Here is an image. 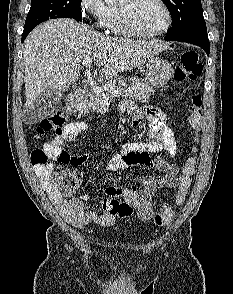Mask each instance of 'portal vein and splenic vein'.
I'll return each instance as SVG.
<instances>
[{
	"label": "portal vein and splenic vein",
	"instance_id": "obj_1",
	"mask_svg": "<svg viewBox=\"0 0 233 294\" xmlns=\"http://www.w3.org/2000/svg\"><path fill=\"white\" fill-rule=\"evenodd\" d=\"M91 64H92V59H90V58H86V59H84V60L82 61V65H83L84 67H90ZM109 93H110L111 95H119V94L122 93V90H120V89H112V90L109 91Z\"/></svg>",
	"mask_w": 233,
	"mask_h": 294
}]
</instances>
